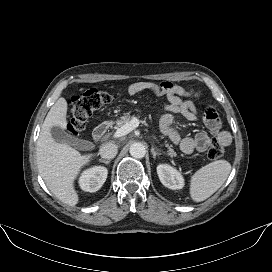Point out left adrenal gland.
I'll use <instances>...</instances> for the list:
<instances>
[{
  "label": "left adrenal gland",
  "mask_w": 272,
  "mask_h": 272,
  "mask_svg": "<svg viewBox=\"0 0 272 272\" xmlns=\"http://www.w3.org/2000/svg\"><path fill=\"white\" fill-rule=\"evenodd\" d=\"M151 153H152L154 159L156 158V156H160L161 155L160 152L155 151L154 147L151 148Z\"/></svg>",
  "instance_id": "1"
}]
</instances>
